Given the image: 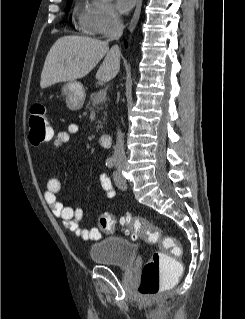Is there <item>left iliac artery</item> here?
I'll return each instance as SVG.
<instances>
[{
	"instance_id": "1",
	"label": "left iliac artery",
	"mask_w": 245,
	"mask_h": 319,
	"mask_svg": "<svg viewBox=\"0 0 245 319\" xmlns=\"http://www.w3.org/2000/svg\"><path fill=\"white\" fill-rule=\"evenodd\" d=\"M113 177H114V181H116L117 180V172L113 173Z\"/></svg>"
}]
</instances>
